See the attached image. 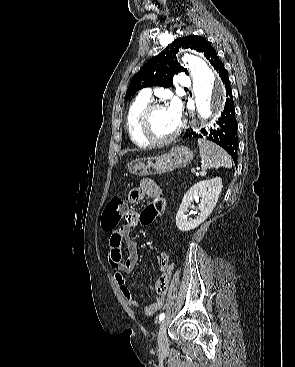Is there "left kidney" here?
Returning <instances> with one entry per match:
<instances>
[{"mask_svg": "<svg viewBox=\"0 0 295 367\" xmlns=\"http://www.w3.org/2000/svg\"><path fill=\"white\" fill-rule=\"evenodd\" d=\"M222 179L216 177L194 184L184 195L176 215V225L180 231L186 232L198 227L212 213L222 190ZM198 201L199 214L195 219H187L186 213L193 201Z\"/></svg>", "mask_w": 295, "mask_h": 367, "instance_id": "left-kidney-1", "label": "left kidney"}]
</instances>
